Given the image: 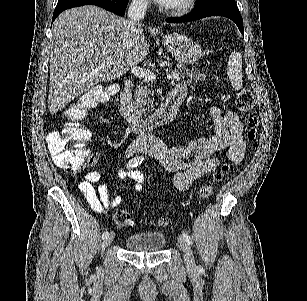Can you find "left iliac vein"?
<instances>
[{
  "mask_svg": "<svg viewBox=\"0 0 307 301\" xmlns=\"http://www.w3.org/2000/svg\"><path fill=\"white\" fill-rule=\"evenodd\" d=\"M178 242L181 249L183 250L186 266L191 270L194 269L196 267V264L194 260V254L190 245L182 236H179Z\"/></svg>",
  "mask_w": 307,
  "mask_h": 301,
  "instance_id": "4c4485c4",
  "label": "left iliac vein"
}]
</instances>
